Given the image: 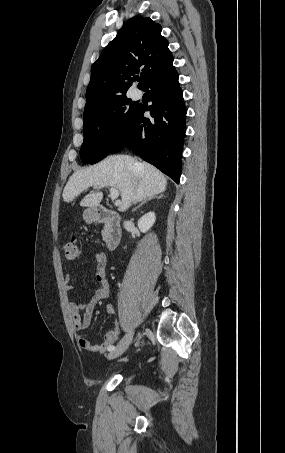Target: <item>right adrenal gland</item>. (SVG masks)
<instances>
[{
    "mask_svg": "<svg viewBox=\"0 0 285 453\" xmlns=\"http://www.w3.org/2000/svg\"><path fill=\"white\" fill-rule=\"evenodd\" d=\"M162 196H151V197H148L146 199H144L136 208H134L132 210V212H135L138 208H140L142 205H144L145 203H147L148 201L154 199V198H157V199H160Z\"/></svg>",
    "mask_w": 285,
    "mask_h": 453,
    "instance_id": "2a0ac1e0",
    "label": "right adrenal gland"
}]
</instances>
